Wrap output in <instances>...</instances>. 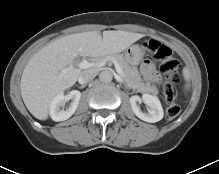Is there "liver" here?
Returning a JSON list of instances; mask_svg holds the SVG:
<instances>
[{"instance_id": "1", "label": "liver", "mask_w": 219, "mask_h": 174, "mask_svg": "<svg viewBox=\"0 0 219 174\" xmlns=\"http://www.w3.org/2000/svg\"><path fill=\"white\" fill-rule=\"evenodd\" d=\"M142 37L125 31L82 32L61 37L39 50L25 66L21 96L29 112L39 120L48 118L52 100L72 87L81 74L73 66L76 57H102L121 52ZM73 66L66 73L62 71Z\"/></svg>"}]
</instances>
